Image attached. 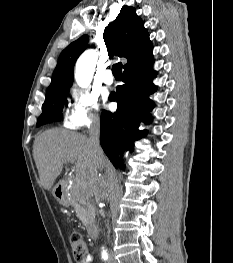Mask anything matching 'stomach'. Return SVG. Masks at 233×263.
<instances>
[{
	"mask_svg": "<svg viewBox=\"0 0 233 263\" xmlns=\"http://www.w3.org/2000/svg\"><path fill=\"white\" fill-rule=\"evenodd\" d=\"M53 194L60 204L67 205V197L65 195L64 186H62V184H58L54 188Z\"/></svg>",
	"mask_w": 233,
	"mask_h": 263,
	"instance_id": "obj_1",
	"label": "stomach"
}]
</instances>
